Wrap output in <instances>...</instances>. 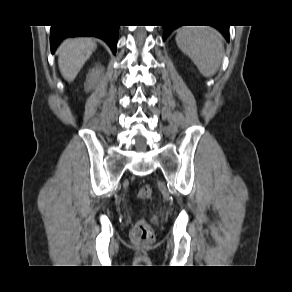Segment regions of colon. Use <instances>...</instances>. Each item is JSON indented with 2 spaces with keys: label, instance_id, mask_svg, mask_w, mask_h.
<instances>
[{
  "label": "colon",
  "instance_id": "1",
  "mask_svg": "<svg viewBox=\"0 0 292 292\" xmlns=\"http://www.w3.org/2000/svg\"><path fill=\"white\" fill-rule=\"evenodd\" d=\"M137 197L142 202H147L152 198V189L145 185L137 193ZM131 240L134 243H151L154 240V232L145 219H140L131 230Z\"/></svg>",
  "mask_w": 292,
  "mask_h": 292
}]
</instances>
